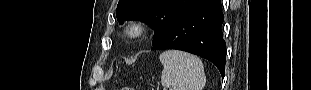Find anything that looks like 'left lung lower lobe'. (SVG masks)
I'll list each match as a JSON object with an SVG mask.
<instances>
[{
  "instance_id": "left-lung-lower-lobe-1",
  "label": "left lung lower lobe",
  "mask_w": 311,
  "mask_h": 90,
  "mask_svg": "<svg viewBox=\"0 0 311 90\" xmlns=\"http://www.w3.org/2000/svg\"><path fill=\"white\" fill-rule=\"evenodd\" d=\"M221 0H200L182 13L152 50L178 49L208 59L225 74Z\"/></svg>"
}]
</instances>
